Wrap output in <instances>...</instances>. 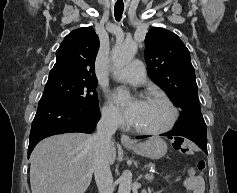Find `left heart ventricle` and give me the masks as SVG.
<instances>
[{"label":"left heart ventricle","mask_w":237,"mask_h":193,"mask_svg":"<svg viewBox=\"0 0 237 193\" xmlns=\"http://www.w3.org/2000/svg\"><path fill=\"white\" fill-rule=\"evenodd\" d=\"M170 118L168 107L159 100H145L138 111L134 125L146 129L164 127Z\"/></svg>","instance_id":"b2bd125f"}]
</instances>
